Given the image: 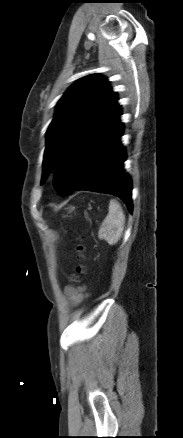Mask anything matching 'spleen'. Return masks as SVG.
Segmentation results:
<instances>
[{
	"label": "spleen",
	"mask_w": 183,
	"mask_h": 438,
	"mask_svg": "<svg viewBox=\"0 0 183 438\" xmlns=\"http://www.w3.org/2000/svg\"><path fill=\"white\" fill-rule=\"evenodd\" d=\"M124 225L125 215L121 205L114 199L110 200L109 212L100 226L98 238L115 245L122 236Z\"/></svg>",
	"instance_id": "obj_1"
}]
</instances>
